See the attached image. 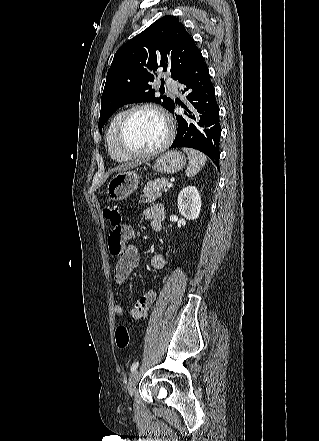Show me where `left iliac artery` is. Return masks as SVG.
Segmentation results:
<instances>
[{
    "instance_id": "1",
    "label": "left iliac artery",
    "mask_w": 319,
    "mask_h": 441,
    "mask_svg": "<svg viewBox=\"0 0 319 441\" xmlns=\"http://www.w3.org/2000/svg\"><path fill=\"white\" fill-rule=\"evenodd\" d=\"M138 365H139L138 361L134 362L130 367L131 372L135 371L137 369Z\"/></svg>"
}]
</instances>
